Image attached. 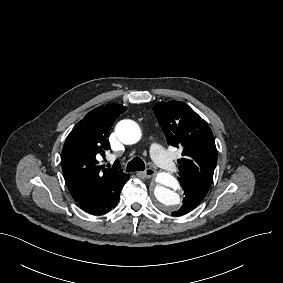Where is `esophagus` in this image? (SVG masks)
<instances>
[{
    "instance_id": "1",
    "label": "esophagus",
    "mask_w": 283,
    "mask_h": 283,
    "mask_svg": "<svg viewBox=\"0 0 283 283\" xmlns=\"http://www.w3.org/2000/svg\"><path fill=\"white\" fill-rule=\"evenodd\" d=\"M138 174L145 178H151L156 175V171L152 168H147L146 170H144L143 172H139Z\"/></svg>"
}]
</instances>
